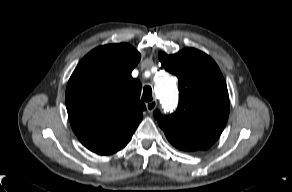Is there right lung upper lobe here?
<instances>
[{
  "label": "right lung upper lobe",
  "mask_w": 292,
  "mask_h": 192,
  "mask_svg": "<svg viewBox=\"0 0 292 192\" xmlns=\"http://www.w3.org/2000/svg\"><path fill=\"white\" fill-rule=\"evenodd\" d=\"M140 58L129 44L104 45L89 52L71 75L66 89L69 120L92 152L124 147L142 120V86L131 76Z\"/></svg>",
  "instance_id": "cb5924a9"
}]
</instances>
